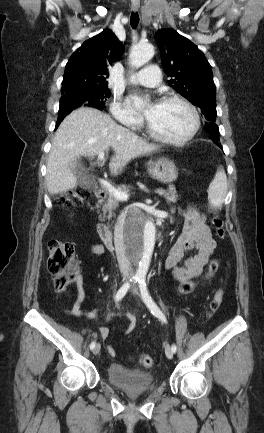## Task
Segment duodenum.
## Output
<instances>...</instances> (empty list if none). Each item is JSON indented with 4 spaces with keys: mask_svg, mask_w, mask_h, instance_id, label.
Returning a JSON list of instances; mask_svg holds the SVG:
<instances>
[{
    "mask_svg": "<svg viewBox=\"0 0 264 433\" xmlns=\"http://www.w3.org/2000/svg\"><path fill=\"white\" fill-rule=\"evenodd\" d=\"M105 196V192L102 189H97L94 192V197L97 201H102ZM98 234L109 248H114V232L106 223L98 224ZM158 238H160L159 235Z\"/></svg>",
    "mask_w": 264,
    "mask_h": 433,
    "instance_id": "obj_1",
    "label": "duodenum"
}]
</instances>
